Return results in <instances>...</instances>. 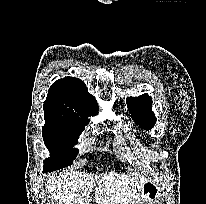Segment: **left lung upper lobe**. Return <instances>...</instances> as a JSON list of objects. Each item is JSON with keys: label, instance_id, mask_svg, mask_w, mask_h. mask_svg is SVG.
Returning a JSON list of instances; mask_svg holds the SVG:
<instances>
[{"label": "left lung upper lobe", "instance_id": "obj_1", "mask_svg": "<svg viewBox=\"0 0 206 204\" xmlns=\"http://www.w3.org/2000/svg\"><path fill=\"white\" fill-rule=\"evenodd\" d=\"M129 113L137 125L145 130H151L156 117L152 112V98L148 94L139 97H128L126 100Z\"/></svg>", "mask_w": 206, "mask_h": 204}]
</instances>
